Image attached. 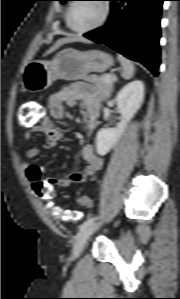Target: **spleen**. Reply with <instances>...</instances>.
Returning a JSON list of instances; mask_svg holds the SVG:
<instances>
[{"instance_id":"obj_1","label":"spleen","mask_w":180,"mask_h":299,"mask_svg":"<svg viewBox=\"0 0 180 299\" xmlns=\"http://www.w3.org/2000/svg\"><path fill=\"white\" fill-rule=\"evenodd\" d=\"M118 60L122 66V76L125 79L132 78L135 72L133 63L122 55H118Z\"/></svg>"}]
</instances>
